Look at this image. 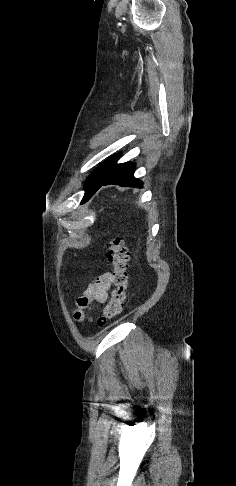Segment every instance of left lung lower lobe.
Listing matches in <instances>:
<instances>
[{"label":"left lung lower lobe","instance_id":"1","mask_svg":"<svg viewBox=\"0 0 236 486\" xmlns=\"http://www.w3.org/2000/svg\"><path fill=\"white\" fill-rule=\"evenodd\" d=\"M134 170V163L116 164L108 176L99 184L98 189L109 184H118L123 187H142V182L133 176Z\"/></svg>","mask_w":236,"mask_h":486}]
</instances>
